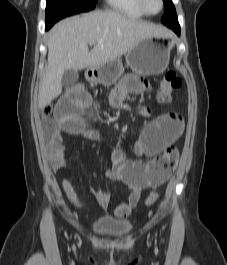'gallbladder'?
I'll return each instance as SVG.
<instances>
[{"label":"gallbladder","mask_w":227,"mask_h":265,"mask_svg":"<svg viewBox=\"0 0 227 265\" xmlns=\"http://www.w3.org/2000/svg\"><path fill=\"white\" fill-rule=\"evenodd\" d=\"M78 78L79 75L77 71L73 69L66 70L62 77V85L64 87H70L77 82Z\"/></svg>","instance_id":"1"}]
</instances>
